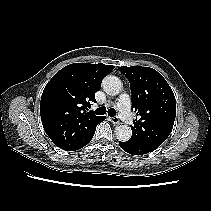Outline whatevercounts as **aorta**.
Returning <instances> with one entry per match:
<instances>
[{
  "instance_id": "obj_1",
  "label": "aorta",
  "mask_w": 211,
  "mask_h": 211,
  "mask_svg": "<svg viewBox=\"0 0 211 211\" xmlns=\"http://www.w3.org/2000/svg\"><path fill=\"white\" fill-rule=\"evenodd\" d=\"M103 90L111 96L118 95L122 89V82L116 76H106L102 81ZM115 135L120 141H128L131 138L132 130L128 125L120 124L115 129Z\"/></svg>"
}]
</instances>
